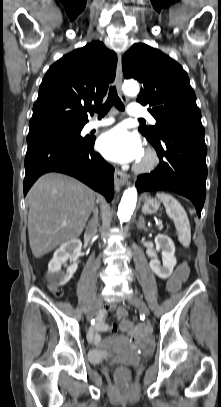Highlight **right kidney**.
I'll list each match as a JSON object with an SVG mask.
<instances>
[{
  "instance_id": "obj_1",
  "label": "right kidney",
  "mask_w": 221,
  "mask_h": 407,
  "mask_svg": "<svg viewBox=\"0 0 221 407\" xmlns=\"http://www.w3.org/2000/svg\"><path fill=\"white\" fill-rule=\"evenodd\" d=\"M81 247V241L75 239L63 243L54 252L53 258L48 264L49 278L52 283L57 286H64L70 281L78 267L77 259L81 255ZM68 259H70L73 264L64 272L61 270V267Z\"/></svg>"
}]
</instances>
